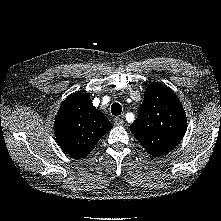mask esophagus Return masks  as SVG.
<instances>
[{"label":"esophagus","instance_id":"1","mask_svg":"<svg viewBox=\"0 0 221 221\" xmlns=\"http://www.w3.org/2000/svg\"><path fill=\"white\" fill-rule=\"evenodd\" d=\"M114 124L117 125V126H122L124 124V119L120 118V117H116L114 119Z\"/></svg>","mask_w":221,"mask_h":221}]
</instances>
